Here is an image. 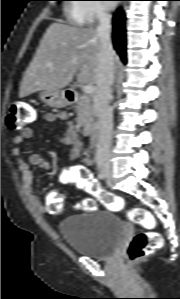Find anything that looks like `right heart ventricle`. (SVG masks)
I'll return each mask as SVG.
<instances>
[{
  "label": "right heart ventricle",
  "instance_id": "right-heart-ventricle-1",
  "mask_svg": "<svg viewBox=\"0 0 180 299\" xmlns=\"http://www.w3.org/2000/svg\"><path fill=\"white\" fill-rule=\"evenodd\" d=\"M85 6L81 4H72L67 9L68 18L75 25H84L88 19L83 11Z\"/></svg>",
  "mask_w": 180,
  "mask_h": 299
}]
</instances>
